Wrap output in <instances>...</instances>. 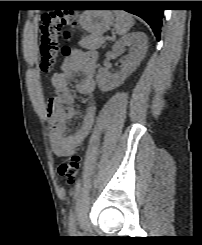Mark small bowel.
I'll return each mask as SVG.
<instances>
[{
	"label": "small bowel",
	"instance_id": "small-bowel-1",
	"mask_svg": "<svg viewBox=\"0 0 202 245\" xmlns=\"http://www.w3.org/2000/svg\"><path fill=\"white\" fill-rule=\"evenodd\" d=\"M96 59L92 54L73 49L64 60L61 71L52 76V86L56 96L47 102L46 114L50 120V144L57 156H71L83 145L95 120L97 101L95 97ZM76 75L82 78L77 82V91L87 98L85 112L74 108V95L69 91V81ZM81 124L73 134L68 133V124L76 118Z\"/></svg>",
	"mask_w": 202,
	"mask_h": 245
}]
</instances>
